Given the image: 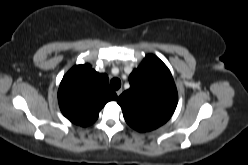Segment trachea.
<instances>
[{"mask_svg": "<svg viewBox=\"0 0 248 165\" xmlns=\"http://www.w3.org/2000/svg\"><path fill=\"white\" fill-rule=\"evenodd\" d=\"M110 86L113 90H118L121 87V81L118 78H113L110 81Z\"/></svg>", "mask_w": 248, "mask_h": 165, "instance_id": "3493384b", "label": "trachea"}]
</instances>
